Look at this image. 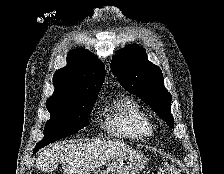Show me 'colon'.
<instances>
[{
	"label": "colon",
	"mask_w": 224,
	"mask_h": 174,
	"mask_svg": "<svg viewBox=\"0 0 224 174\" xmlns=\"http://www.w3.org/2000/svg\"><path fill=\"white\" fill-rule=\"evenodd\" d=\"M157 174H179V171L173 164L167 163L165 166L159 168Z\"/></svg>",
	"instance_id": "1"
}]
</instances>
